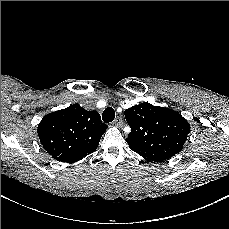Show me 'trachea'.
I'll use <instances>...</instances> for the list:
<instances>
[{
  "label": "trachea",
  "mask_w": 229,
  "mask_h": 229,
  "mask_svg": "<svg viewBox=\"0 0 229 229\" xmlns=\"http://www.w3.org/2000/svg\"><path fill=\"white\" fill-rule=\"evenodd\" d=\"M115 118V111L112 107H107L102 113V119L105 123H110Z\"/></svg>",
  "instance_id": "obj_1"
}]
</instances>
